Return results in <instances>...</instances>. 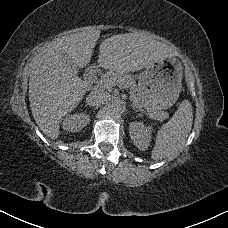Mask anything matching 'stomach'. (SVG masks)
<instances>
[{"label": "stomach", "mask_w": 228, "mask_h": 228, "mask_svg": "<svg viewBox=\"0 0 228 228\" xmlns=\"http://www.w3.org/2000/svg\"><path fill=\"white\" fill-rule=\"evenodd\" d=\"M182 65L172 57L146 68L138 75L137 96L150 110L171 108L182 90Z\"/></svg>", "instance_id": "stomach-1"}]
</instances>
